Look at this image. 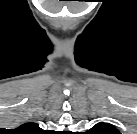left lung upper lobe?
Returning a JSON list of instances; mask_svg holds the SVG:
<instances>
[{
    "label": "left lung upper lobe",
    "instance_id": "left-lung-upper-lobe-1",
    "mask_svg": "<svg viewBox=\"0 0 137 134\" xmlns=\"http://www.w3.org/2000/svg\"><path fill=\"white\" fill-rule=\"evenodd\" d=\"M88 134H120V133L112 124L99 122L88 131Z\"/></svg>",
    "mask_w": 137,
    "mask_h": 134
}]
</instances>
